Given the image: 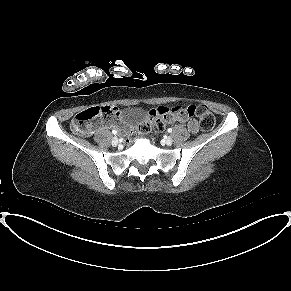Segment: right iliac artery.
Instances as JSON below:
<instances>
[{
	"label": "right iliac artery",
	"instance_id": "obj_1",
	"mask_svg": "<svg viewBox=\"0 0 291 291\" xmlns=\"http://www.w3.org/2000/svg\"><path fill=\"white\" fill-rule=\"evenodd\" d=\"M112 133H113V134H116V133H117V131H116V130H113V131H112Z\"/></svg>",
	"mask_w": 291,
	"mask_h": 291
}]
</instances>
